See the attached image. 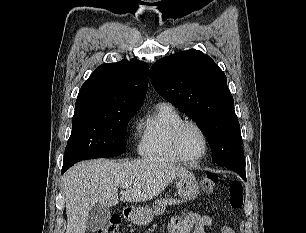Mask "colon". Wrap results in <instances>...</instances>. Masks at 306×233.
Masks as SVG:
<instances>
[{"label":"colon","mask_w":306,"mask_h":233,"mask_svg":"<svg viewBox=\"0 0 306 233\" xmlns=\"http://www.w3.org/2000/svg\"><path fill=\"white\" fill-rule=\"evenodd\" d=\"M218 180L215 173L206 174L201 180L203 190L210 193ZM244 202L243 185L239 181H234L229 188V203L235 208L242 207ZM120 218L117 215H112L108 222L97 233H119Z\"/></svg>","instance_id":"colon-1"}]
</instances>
